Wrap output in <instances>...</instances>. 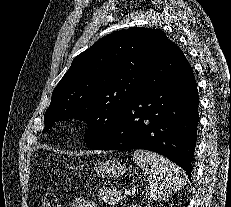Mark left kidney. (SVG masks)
<instances>
[{
    "label": "left kidney",
    "instance_id": "1",
    "mask_svg": "<svg viewBox=\"0 0 231 207\" xmlns=\"http://www.w3.org/2000/svg\"><path fill=\"white\" fill-rule=\"evenodd\" d=\"M131 207H141V206H137V205H132Z\"/></svg>",
    "mask_w": 231,
    "mask_h": 207
}]
</instances>
